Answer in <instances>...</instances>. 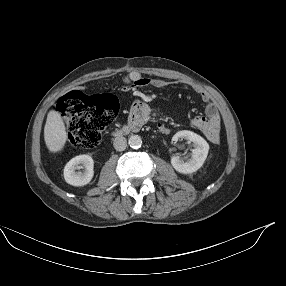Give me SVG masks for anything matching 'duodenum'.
I'll list each match as a JSON object with an SVG mask.
<instances>
[{
  "label": "duodenum",
  "mask_w": 286,
  "mask_h": 286,
  "mask_svg": "<svg viewBox=\"0 0 286 286\" xmlns=\"http://www.w3.org/2000/svg\"><path fill=\"white\" fill-rule=\"evenodd\" d=\"M135 115L130 118L127 124L122 127L114 128L111 131V134L115 137L122 136L130 131H138L144 125L143 115L147 111V107L140 108L139 106H135Z\"/></svg>",
  "instance_id": "duodenum-1"
}]
</instances>
